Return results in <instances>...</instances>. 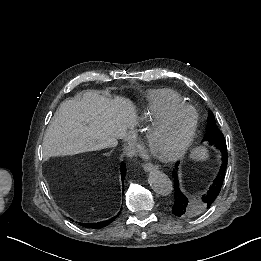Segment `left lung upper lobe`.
Wrapping results in <instances>:
<instances>
[{"label": "left lung upper lobe", "instance_id": "obj_1", "mask_svg": "<svg viewBox=\"0 0 261 261\" xmlns=\"http://www.w3.org/2000/svg\"><path fill=\"white\" fill-rule=\"evenodd\" d=\"M207 132L203 141L209 142L210 145L216 146L219 150L226 148V142L223 134L217 128L215 118L213 114H210L207 118Z\"/></svg>", "mask_w": 261, "mask_h": 261}]
</instances>
